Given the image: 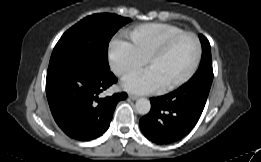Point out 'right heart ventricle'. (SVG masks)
I'll return each instance as SVG.
<instances>
[{
	"mask_svg": "<svg viewBox=\"0 0 261 162\" xmlns=\"http://www.w3.org/2000/svg\"><path fill=\"white\" fill-rule=\"evenodd\" d=\"M183 32V29L167 23H148L128 31L131 44L144 59L169 37Z\"/></svg>",
	"mask_w": 261,
	"mask_h": 162,
	"instance_id": "e07e8e85",
	"label": "right heart ventricle"
}]
</instances>
